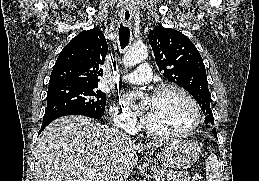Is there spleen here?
<instances>
[{"label":"spleen","instance_id":"1","mask_svg":"<svg viewBox=\"0 0 259 181\" xmlns=\"http://www.w3.org/2000/svg\"><path fill=\"white\" fill-rule=\"evenodd\" d=\"M220 164L217 156L212 153L206 160V181H220Z\"/></svg>","mask_w":259,"mask_h":181}]
</instances>
